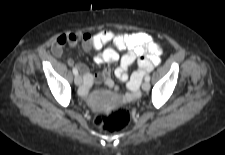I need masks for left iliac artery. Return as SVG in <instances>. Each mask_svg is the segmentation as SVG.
<instances>
[{
    "label": "left iliac artery",
    "instance_id": "left-iliac-artery-1",
    "mask_svg": "<svg viewBox=\"0 0 225 155\" xmlns=\"http://www.w3.org/2000/svg\"><path fill=\"white\" fill-rule=\"evenodd\" d=\"M145 81H150V75L145 76Z\"/></svg>",
    "mask_w": 225,
    "mask_h": 155
}]
</instances>
